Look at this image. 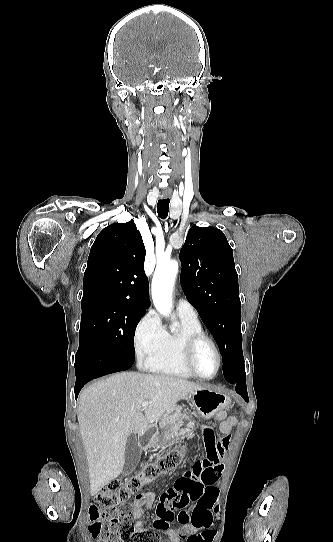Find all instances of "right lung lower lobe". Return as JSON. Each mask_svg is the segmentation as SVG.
Returning <instances> with one entry per match:
<instances>
[{"instance_id": "right-lung-lower-lobe-1", "label": "right lung lower lobe", "mask_w": 333, "mask_h": 542, "mask_svg": "<svg viewBox=\"0 0 333 542\" xmlns=\"http://www.w3.org/2000/svg\"><path fill=\"white\" fill-rule=\"evenodd\" d=\"M134 362L116 356L110 349L94 339L86 338L79 345L75 358L77 398L82 387L92 379L129 369Z\"/></svg>"}]
</instances>
